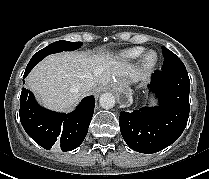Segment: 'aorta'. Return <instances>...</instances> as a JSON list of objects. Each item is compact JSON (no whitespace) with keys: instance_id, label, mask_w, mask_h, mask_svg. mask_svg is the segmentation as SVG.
I'll list each match as a JSON object with an SVG mask.
<instances>
[{"instance_id":"762f6f07","label":"aorta","mask_w":209,"mask_h":179,"mask_svg":"<svg viewBox=\"0 0 209 179\" xmlns=\"http://www.w3.org/2000/svg\"><path fill=\"white\" fill-rule=\"evenodd\" d=\"M100 106L104 109H110L115 105V97L112 93H103L99 99Z\"/></svg>"}]
</instances>
